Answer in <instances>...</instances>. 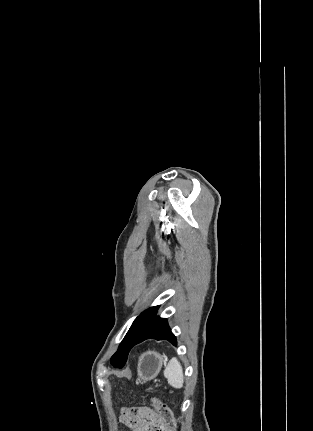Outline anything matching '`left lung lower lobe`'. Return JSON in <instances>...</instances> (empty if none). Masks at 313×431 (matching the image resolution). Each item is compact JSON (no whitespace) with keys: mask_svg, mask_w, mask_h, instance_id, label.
I'll use <instances>...</instances> for the list:
<instances>
[{"mask_svg":"<svg viewBox=\"0 0 313 431\" xmlns=\"http://www.w3.org/2000/svg\"><path fill=\"white\" fill-rule=\"evenodd\" d=\"M168 340L173 345L177 344L176 337L171 332L166 319L156 317V314L146 323L132 343V347L147 339Z\"/></svg>","mask_w":313,"mask_h":431,"instance_id":"obj_1","label":"left lung lower lobe"}]
</instances>
